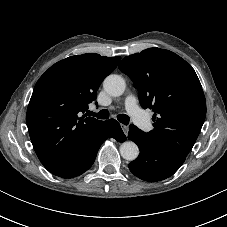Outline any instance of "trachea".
<instances>
[{
  "label": "trachea",
  "instance_id": "obj_1",
  "mask_svg": "<svg viewBox=\"0 0 227 227\" xmlns=\"http://www.w3.org/2000/svg\"><path fill=\"white\" fill-rule=\"evenodd\" d=\"M90 115L97 117L98 119H108L109 118V112L106 109L101 110L99 113H93L91 112ZM117 119L119 122H121L124 125H128L130 118L125 114H119L117 116Z\"/></svg>",
  "mask_w": 227,
  "mask_h": 227
}]
</instances>
